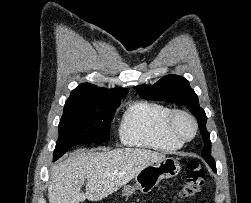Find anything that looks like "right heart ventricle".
<instances>
[{"instance_id": "obj_1", "label": "right heart ventricle", "mask_w": 251, "mask_h": 203, "mask_svg": "<svg viewBox=\"0 0 251 203\" xmlns=\"http://www.w3.org/2000/svg\"><path fill=\"white\" fill-rule=\"evenodd\" d=\"M172 109L164 104L138 101L131 104L122 116L119 139L122 144L157 151H175L183 143L166 130Z\"/></svg>"}]
</instances>
